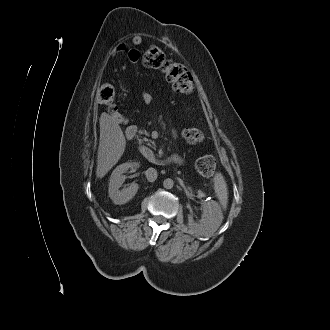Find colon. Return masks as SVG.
I'll return each instance as SVG.
<instances>
[{"label": "colon", "mask_w": 330, "mask_h": 330, "mask_svg": "<svg viewBox=\"0 0 330 330\" xmlns=\"http://www.w3.org/2000/svg\"><path fill=\"white\" fill-rule=\"evenodd\" d=\"M136 56L135 52H132ZM142 64L147 69L160 70L165 79L171 83L172 91L179 95H191L194 91V79L188 69L181 63L168 60L164 52L156 46L149 47L142 56ZM99 100L109 105L112 117L122 123L124 115L116 110L113 105L115 89L110 84H104L98 91ZM183 139L189 144H197L204 140V134L195 128H188L182 132ZM216 168L215 159L211 156H204L197 160L196 169L203 176H210Z\"/></svg>", "instance_id": "colon-1"}]
</instances>
